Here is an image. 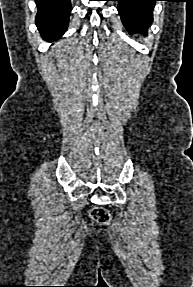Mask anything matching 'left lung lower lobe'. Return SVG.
Listing matches in <instances>:
<instances>
[{"mask_svg": "<svg viewBox=\"0 0 193 287\" xmlns=\"http://www.w3.org/2000/svg\"><path fill=\"white\" fill-rule=\"evenodd\" d=\"M118 1V12L129 32L147 34V28L153 21V9L159 0H114Z\"/></svg>", "mask_w": 193, "mask_h": 287, "instance_id": "0a47b994", "label": "left lung lower lobe"}]
</instances>
